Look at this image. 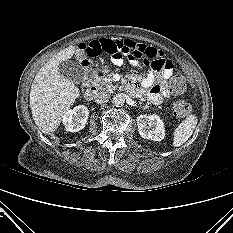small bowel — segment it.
Returning <instances> with one entry per match:
<instances>
[{
    "mask_svg": "<svg viewBox=\"0 0 233 233\" xmlns=\"http://www.w3.org/2000/svg\"><path fill=\"white\" fill-rule=\"evenodd\" d=\"M78 50L83 56V63H88L87 58L103 53L109 54L115 65H121L125 57L130 64L141 68L142 60L148 70L143 78L135 71L129 73L130 91L139 96L146 95L156 105L172 94L167 80L173 74V66L161 50L128 39L109 38L81 43Z\"/></svg>",
    "mask_w": 233,
    "mask_h": 233,
    "instance_id": "1",
    "label": "small bowel"
}]
</instances>
